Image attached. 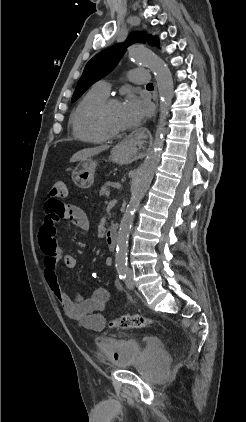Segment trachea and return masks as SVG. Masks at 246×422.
<instances>
[{"mask_svg": "<svg viewBox=\"0 0 246 422\" xmlns=\"http://www.w3.org/2000/svg\"><path fill=\"white\" fill-rule=\"evenodd\" d=\"M147 87H153L152 83L147 84Z\"/></svg>", "mask_w": 246, "mask_h": 422, "instance_id": "3493384b", "label": "trachea"}]
</instances>
